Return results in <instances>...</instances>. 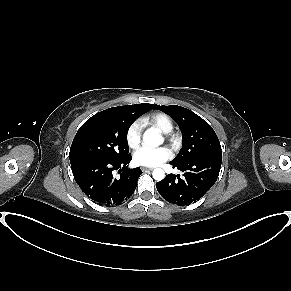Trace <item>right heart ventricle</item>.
<instances>
[{"label":"right heart ventricle","mask_w":291,"mask_h":291,"mask_svg":"<svg viewBox=\"0 0 291 291\" xmlns=\"http://www.w3.org/2000/svg\"><path fill=\"white\" fill-rule=\"evenodd\" d=\"M143 121L158 128L163 133H170L174 126L171 117L163 112L148 114Z\"/></svg>","instance_id":"right-heart-ventricle-1"}]
</instances>
